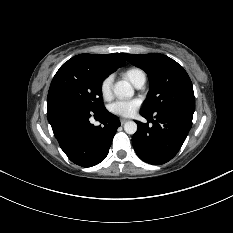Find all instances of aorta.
I'll use <instances>...</instances> for the list:
<instances>
[{
  "mask_svg": "<svg viewBox=\"0 0 233 233\" xmlns=\"http://www.w3.org/2000/svg\"><path fill=\"white\" fill-rule=\"evenodd\" d=\"M113 91L119 99L131 98L134 95V89L127 81H118ZM124 130L127 134H134L137 131V124L134 121H128L124 124Z\"/></svg>",
  "mask_w": 233,
  "mask_h": 233,
  "instance_id": "1",
  "label": "aorta"
}]
</instances>
